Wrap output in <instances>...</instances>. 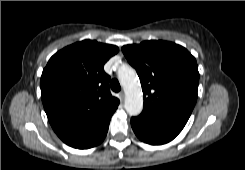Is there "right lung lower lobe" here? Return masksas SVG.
Here are the masks:
<instances>
[{"mask_svg":"<svg viewBox=\"0 0 245 170\" xmlns=\"http://www.w3.org/2000/svg\"><path fill=\"white\" fill-rule=\"evenodd\" d=\"M108 127H109V123L105 126V128L92 141H90L86 145L82 146L80 149H87V148H91V147H94V146L100 144L104 140V138L107 134Z\"/></svg>","mask_w":245,"mask_h":170,"instance_id":"98d812e1","label":"right lung lower lobe"}]
</instances>
